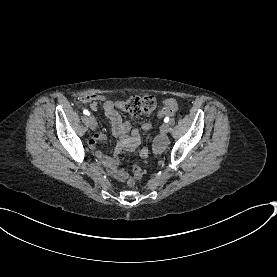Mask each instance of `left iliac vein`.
<instances>
[{"label":"left iliac vein","mask_w":277,"mask_h":277,"mask_svg":"<svg viewBox=\"0 0 277 277\" xmlns=\"http://www.w3.org/2000/svg\"><path fill=\"white\" fill-rule=\"evenodd\" d=\"M160 130H161V132H162L163 134H166V133L168 132V130H169L168 124H166V123L162 124Z\"/></svg>","instance_id":"left-iliac-vein-1"}]
</instances>
